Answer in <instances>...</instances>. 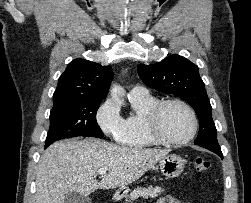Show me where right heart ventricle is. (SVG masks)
Segmentation results:
<instances>
[{
	"mask_svg": "<svg viewBox=\"0 0 251 203\" xmlns=\"http://www.w3.org/2000/svg\"><path fill=\"white\" fill-rule=\"evenodd\" d=\"M134 112L124 119L122 131L116 137L118 143L124 147L143 149L155 146L146 132L145 116L147 110L157 102V99L149 94L147 97H129Z\"/></svg>",
	"mask_w": 251,
	"mask_h": 203,
	"instance_id": "1",
	"label": "right heart ventricle"
}]
</instances>
